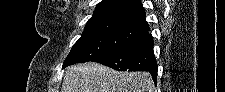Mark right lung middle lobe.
<instances>
[{
  "mask_svg": "<svg viewBox=\"0 0 225 92\" xmlns=\"http://www.w3.org/2000/svg\"><path fill=\"white\" fill-rule=\"evenodd\" d=\"M145 33L137 28L119 23L86 25L84 32L73 45L62 68L75 63L91 61L97 56L128 44Z\"/></svg>",
  "mask_w": 225,
  "mask_h": 92,
  "instance_id": "obj_1",
  "label": "right lung middle lobe"
}]
</instances>
